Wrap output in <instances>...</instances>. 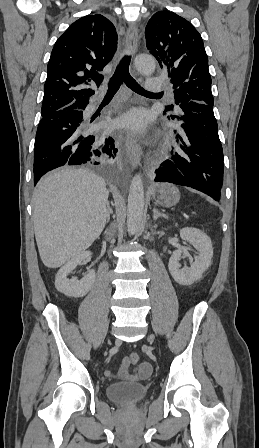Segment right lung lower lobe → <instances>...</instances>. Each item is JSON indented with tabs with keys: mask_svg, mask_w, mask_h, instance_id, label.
<instances>
[{
	"mask_svg": "<svg viewBox=\"0 0 259 448\" xmlns=\"http://www.w3.org/2000/svg\"><path fill=\"white\" fill-rule=\"evenodd\" d=\"M88 104L42 116L35 137L34 185L45 173L65 164H108L114 158V139L105 136L96 124L90 125L93 120L84 112Z\"/></svg>",
	"mask_w": 259,
	"mask_h": 448,
	"instance_id": "right-lung-lower-lobe-1",
	"label": "right lung lower lobe"
}]
</instances>
